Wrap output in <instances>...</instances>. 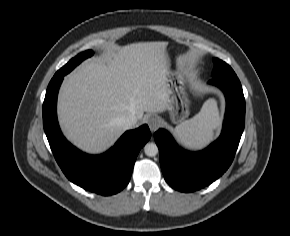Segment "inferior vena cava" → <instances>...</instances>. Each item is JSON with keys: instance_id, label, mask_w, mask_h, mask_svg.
<instances>
[{"instance_id": "1", "label": "inferior vena cava", "mask_w": 290, "mask_h": 236, "mask_svg": "<svg viewBox=\"0 0 290 236\" xmlns=\"http://www.w3.org/2000/svg\"><path fill=\"white\" fill-rule=\"evenodd\" d=\"M137 117L133 113H127L120 118V123L125 129L132 128L137 123Z\"/></svg>"}]
</instances>
